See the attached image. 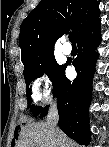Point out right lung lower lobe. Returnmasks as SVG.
Listing matches in <instances>:
<instances>
[{
	"label": "right lung lower lobe",
	"instance_id": "1",
	"mask_svg": "<svg viewBox=\"0 0 109 147\" xmlns=\"http://www.w3.org/2000/svg\"><path fill=\"white\" fill-rule=\"evenodd\" d=\"M99 17V16H98ZM95 18L91 24L76 38L78 56L72 64L77 71L76 79L71 82L65 75L67 65L64 64L54 83V95L57 97L59 127L79 144L90 143L89 105L92 94V79L98 54L95 49L100 43V20ZM48 113L44 107L39 117Z\"/></svg>",
	"mask_w": 109,
	"mask_h": 147
}]
</instances>
